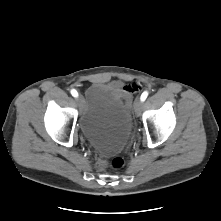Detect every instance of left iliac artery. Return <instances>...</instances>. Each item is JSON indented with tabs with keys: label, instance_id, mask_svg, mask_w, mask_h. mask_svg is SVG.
Returning <instances> with one entry per match:
<instances>
[{
	"label": "left iliac artery",
	"instance_id": "1",
	"mask_svg": "<svg viewBox=\"0 0 221 221\" xmlns=\"http://www.w3.org/2000/svg\"><path fill=\"white\" fill-rule=\"evenodd\" d=\"M147 96H148V92L147 91L143 92L141 95V100L144 101L147 98Z\"/></svg>",
	"mask_w": 221,
	"mask_h": 221
}]
</instances>
